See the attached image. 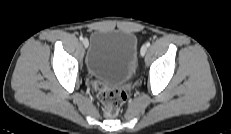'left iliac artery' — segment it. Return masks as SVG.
Segmentation results:
<instances>
[{"mask_svg":"<svg viewBox=\"0 0 231 134\" xmlns=\"http://www.w3.org/2000/svg\"><path fill=\"white\" fill-rule=\"evenodd\" d=\"M146 46L149 47V46H150V42H147V43H146Z\"/></svg>","mask_w":231,"mask_h":134,"instance_id":"left-iliac-artery-1","label":"left iliac artery"}]
</instances>
